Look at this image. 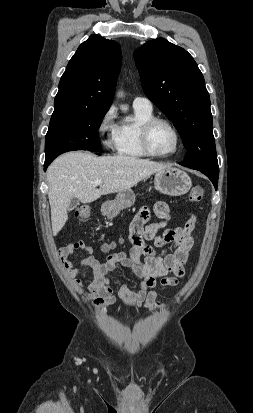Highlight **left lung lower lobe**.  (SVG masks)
Segmentation results:
<instances>
[{
    "label": "left lung lower lobe",
    "instance_id": "1",
    "mask_svg": "<svg viewBox=\"0 0 253 413\" xmlns=\"http://www.w3.org/2000/svg\"><path fill=\"white\" fill-rule=\"evenodd\" d=\"M197 170V169H195ZM202 173H204L206 176L209 177V179L212 181L215 189H217V185H218V177H219V172H209V171H205V170H198Z\"/></svg>",
    "mask_w": 253,
    "mask_h": 413
}]
</instances>
